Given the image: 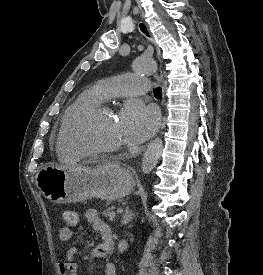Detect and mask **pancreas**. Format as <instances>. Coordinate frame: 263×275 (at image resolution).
Here are the masks:
<instances>
[{"label":"pancreas","instance_id":"1","mask_svg":"<svg viewBox=\"0 0 263 275\" xmlns=\"http://www.w3.org/2000/svg\"><path fill=\"white\" fill-rule=\"evenodd\" d=\"M102 214H103L105 217H108L110 220H113V219L116 217V213L114 212L113 207H110L109 209L104 210V211L102 212Z\"/></svg>","mask_w":263,"mask_h":275}]
</instances>
